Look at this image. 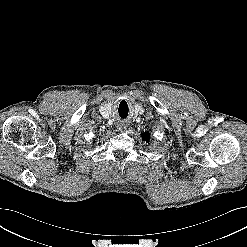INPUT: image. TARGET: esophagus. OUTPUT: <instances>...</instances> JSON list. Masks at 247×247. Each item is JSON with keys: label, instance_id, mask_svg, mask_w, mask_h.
Here are the masks:
<instances>
[{"label": "esophagus", "instance_id": "obj_1", "mask_svg": "<svg viewBox=\"0 0 247 247\" xmlns=\"http://www.w3.org/2000/svg\"><path fill=\"white\" fill-rule=\"evenodd\" d=\"M127 128H128V123L125 122V121H121V122L118 124V129H119L120 131H125Z\"/></svg>", "mask_w": 247, "mask_h": 247}]
</instances>
